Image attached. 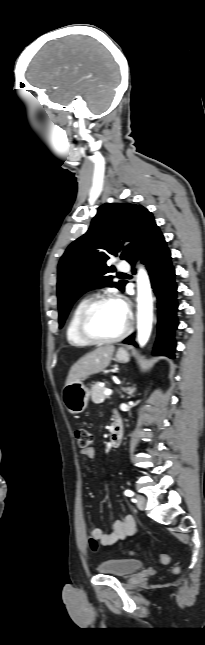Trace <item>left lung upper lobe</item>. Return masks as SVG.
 I'll use <instances>...</instances> for the list:
<instances>
[{"label": "left lung upper lobe", "instance_id": "5c2ea615", "mask_svg": "<svg viewBox=\"0 0 205 645\" xmlns=\"http://www.w3.org/2000/svg\"><path fill=\"white\" fill-rule=\"evenodd\" d=\"M155 223L151 212L131 203H106L99 207L88 231L65 251L58 265L57 296L61 328L74 302L86 291L100 287L124 290L126 281L112 282L115 272L107 266L112 256L130 262L141 240ZM121 239L130 241L123 246Z\"/></svg>", "mask_w": 205, "mask_h": 645}]
</instances>
